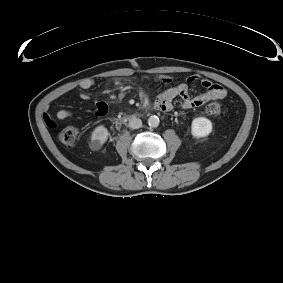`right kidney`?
Returning <instances> with one entry per match:
<instances>
[{
    "mask_svg": "<svg viewBox=\"0 0 283 283\" xmlns=\"http://www.w3.org/2000/svg\"><path fill=\"white\" fill-rule=\"evenodd\" d=\"M108 135L109 133L107 128L103 125H100L93 130L91 140L93 142H98V144L102 145L107 141Z\"/></svg>",
    "mask_w": 283,
    "mask_h": 283,
    "instance_id": "obj_1",
    "label": "right kidney"
}]
</instances>
